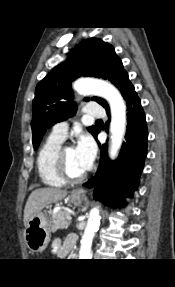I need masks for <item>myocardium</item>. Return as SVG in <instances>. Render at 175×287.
Instances as JSON below:
<instances>
[{"mask_svg":"<svg viewBox=\"0 0 175 287\" xmlns=\"http://www.w3.org/2000/svg\"><path fill=\"white\" fill-rule=\"evenodd\" d=\"M72 146L70 145H61L57 152H56V156H55V167L57 170L58 175L66 182L69 183H77L82 181L86 176H87V171H84L83 173L79 174V175H72L68 169H67V165H66V161H65V151L68 148H71Z\"/></svg>","mask_w":175,"mask_h":287,"instance_id":"obj_1","label":"myocardium"}]
</instances>
